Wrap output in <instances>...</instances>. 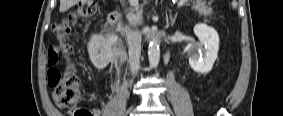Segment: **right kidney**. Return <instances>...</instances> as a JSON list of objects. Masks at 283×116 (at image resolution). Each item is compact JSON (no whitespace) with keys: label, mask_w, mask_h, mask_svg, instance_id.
<instances>
[{"label":"right kidney","mask_w":283,"mask_h":116,"mask_svg":"<svg viewBox=\"0 0 283 116\" xmlns=\"http://www.w3.org/2000/svg\"><path fill=\"white\" fill-rule=\"evenodd\" d=\"M115 38L107 35H92L88 43V53L92 64L102 70L107 67L115 55L114 50Z\"/></svg>","instance_id":"ca27d5eb"}]
</instances>
